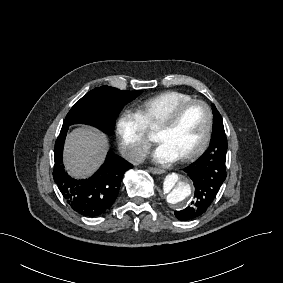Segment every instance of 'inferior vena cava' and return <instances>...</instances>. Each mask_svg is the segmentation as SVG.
Returning a JSON list of instances; mask_svg holds the SVG:
<instances>
[{"label": "inferior vena cava", "mask_w": 283, "mask_h": 283, "mask_svg": "<svg viewBox=\"0 0 283 283\" xmlns=\"http://www.w3.org/2000/svg\"><path fill=\"white\" fill-rule=\"evenodd\" d=\"M147 157V151L139 146H130L126 153V159L133 165H138L144 162Z\"/></svg>", "instance_id": "602c4592"}]
</instances>
